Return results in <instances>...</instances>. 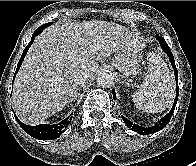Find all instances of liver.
<instances>
[{
  "mask_svg": "<svg viewBox=\"0 0 196 166\" xmlns=\"http://www.w3.org/2000/svg\"><path fill=\"white\" fill-rule=\"evenodd\" d=\"M143 45L126 27L106 21L57 22L38 35L16 75L12 106L25 124L36 125L61 111L77 89L76 72L93 78L98 62Z\"/></svg>",
  "mask_w": 196,
  "mask_h": 166,
  "instance_id": "obj_1",
  "label": "liver"
}]
</instances>
